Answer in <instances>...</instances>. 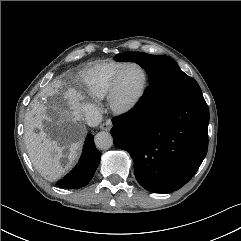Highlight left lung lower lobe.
Returning <instances> with one entry per match:
<instances>
[{"label": "left lung lower lobe", "mask_w": 241, "mask_h": 241, "mask_svg": "<svg viewBox=\"0 0 241 241\" xmlns=\"http://www.w3.org/2000/svg\"><path fill=\"white\" fill-rule=\"evenodd\" d=\"M112 122L114 145L130 153L136 179L150 192L180 189L206 156L209 109L202 93L173 100L153 81L135 108Z\"/></svg>", "instance_id": "left-lung-lower-lobe-1"}]
</instances>
